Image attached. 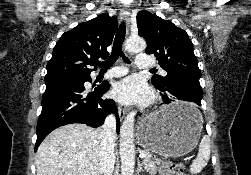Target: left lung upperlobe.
I'll return each instance as SVG.
<instances>
[{
    "mask_svg": "<svg viewBox=\"0 0 251 175\" xmlns=\"http://www.w3.org/2000/svg\"><path fill=\"white\" fill-rule=\"evenodd\" d=\"M137 26L139 36L147 42L146 53L154 54L167 71L165 77L153 76L152 82L157 88H164L178 78L199 83L201 71L186 31L146 10L137 14Z\"/></svg>",
    "mask_w": 251,
    "mask_h": 175,
    "instance_id": "5c2ea615",
    "label": "left lung upper lobe"
}]
</instances>
